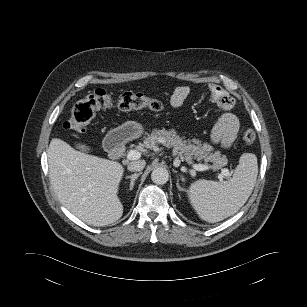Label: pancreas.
I'll use <instances>...</instances> for the list:
<instances>
[{
	"instance_id": "obj_1",
	"label": "pancreas",
	"mask_w": 307,
	"mask_h": 307,
	"mask_svg": "<svg viewBox=\"0 0 307 307\" xmlns=\"http://www.w3.org/2000/svg\"><path fill=\"white\" fill-rule=\"evenodd\" d=\"M141 146L148 149H155L158 143L173 149V155L178 156L181 161L191 164L193 159L203 161L205 164L211 163L214 170L221 169L228 163L225 155L219 151H213V147L208 143H202L198 139L185 140L180 137L174 129L169 131L164 128L161 130L154 129L150 134H146Z\"/></svg>"
}]
</instances>
